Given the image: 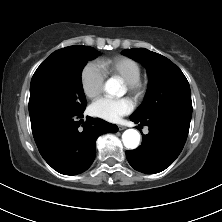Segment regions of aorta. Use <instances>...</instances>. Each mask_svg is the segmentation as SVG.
<instances>
[{
  "label": "aorta",
  "mask_w": 222,
  "mask_h": 222,
  "mask_svg": "<svg viewBox=\"0 0 222 222\" xmlns=\"http://www.w3.org/2000/svg\"><path fill=\"white\" fill-rule=\"evenodd\" d=\"M121 85L114 79H109L105 84V91L112 96L120 94ZM122 141L126 148L136 149L140 143V134L135 129H128L122 134Z\"/></svg>",
  "instance_id": "aorta-1"
}]
</instances>
